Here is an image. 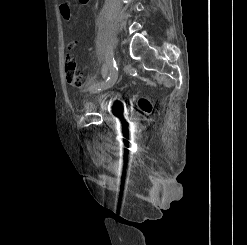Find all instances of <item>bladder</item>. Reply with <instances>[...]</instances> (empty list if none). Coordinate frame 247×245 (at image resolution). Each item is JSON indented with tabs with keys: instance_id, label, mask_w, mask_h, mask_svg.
<instances>
[{
	"instance_id": "obj_1",
	"label": "bladder",
	"mask_w": 247,
	"mask_h": 245,
	"mask_svg": "<svg viewBox=\"0 0 247 245\" xmlns=\"http://www.w3.org/2000/svg\"><path fill=\"white\" fill-rule=\"evenodd\" d=\"M97 102L100 110H107L108 105H110L111 108L116 106L118 99L113 93H103L98 96Z\"/></svg>"
}]
</instances>
